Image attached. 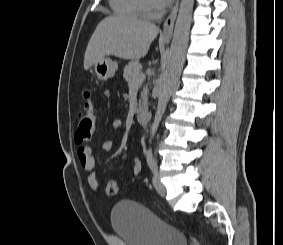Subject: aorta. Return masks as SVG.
Returning <instances> with one entry per match:
<instances>
[{
  "instance_id": "1",
  "label": "aorta",
  "mask_w": 283,
  "mask_h": 245,
  "mask_svg": "<svg viewBox=\"0 0 283 245\" xmlns=\"http://www.w3.org/2000/svg\"><path fill=\"white\" fill-rule=\"evenodd\" d=\"M193 7L194 0H181L166 69L160 83L157 110L150 127V142L155 136L170 99L173 86L183 68L189 41Z\"/></svg>"
}]
</instances>
